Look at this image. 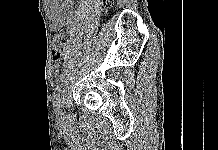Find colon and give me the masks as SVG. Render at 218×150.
<instances>
[{"instance_id":"5ec220e1","label":"colon","mask_w":218,"mask_h":150,"mask_svg":"<svg viewBox=\"0 0 218 150\" xmlns=\"http://www.w3.org/2000/svg\"><path fill=\"white\" fill-rule=\"evenodd\" d=\"M113 3V0H102L101 7L105 11ZM68 42V34L65 31L57 33L53 39L52 56L53 60L57 61L63 55Z\"/></svg>"}]
</instances>
